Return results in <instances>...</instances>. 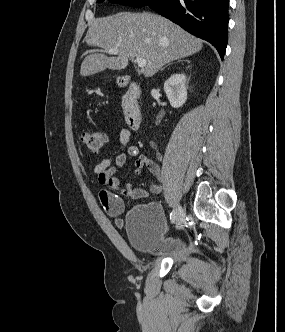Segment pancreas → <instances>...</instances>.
Here are the masks:
<instances>
[{
  "mask_svg": "<svg viewBox=\"0 0 285 332\" xmlns=\"http://www.w3.org/2000/svg\"><path fill=\"white\" fill-rule=\"evenodd\" d=\"M125 104H126V100H125V98L123 99V106H124V108H125Z\"/></svg>",
  "mask_w": 285,
  "mask_h": 332,
  "instance_id": "1",
  "label": "pancreas"
}]
</instances>
